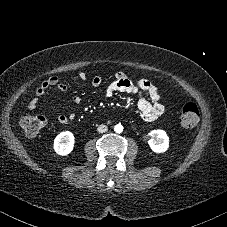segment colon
I'll use <instances>...</instances> for the list:
<instances>
[{
  "mask_svg": "<svg viewBox=\"0 0 227 227\" xmlns=\"http://www.w3.org/2000/svg\"><path fill=\"white\" fill-rule=\"evenodd\" d=\"M199 120V110L194 103H187L184 105L181 115L180 123L185 128L194 127ZM46 124V118L42 115L25 114L20 119V125L25 134L29 136L37 135Z\"/></svg>",
  "mask_w": 227,
  "mask_h": 227,
  "instance_id": "obj_1",
  "label": "colon"
}]
</instances>
